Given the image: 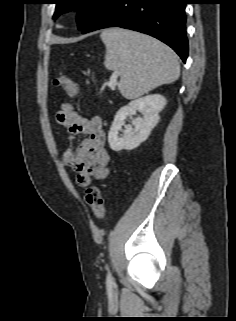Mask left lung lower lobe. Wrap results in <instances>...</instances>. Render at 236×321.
<instances>
[{"instance_id":"left-lung-lower-lobe-1","label":"left lung lower lobe","mask_w":236,"mask_h":321,"mask_svg":"<svg viewBox=\"0 0 236 321\" xmlns=\"http://www.w3.org/2000/svg\"><path fill=\"white\" fill-rule=\"evenodd\" d=\"M188 3L189 0H109L83 33L107 27L135 30L166 43L186 62L185 4Z\"/></svg>"}]
</instances>
